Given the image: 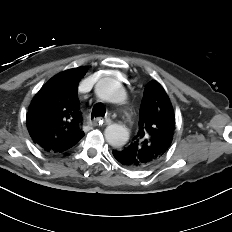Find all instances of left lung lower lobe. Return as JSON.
Returning <instances> with one entry per match:
<instances>
[{
	"label": "left lung lower lobe",
	"mask_w": 232,
	"mask_h": 232,
	"mask_svg": "<svg viewBox=\"0 0 232 232\" xmlns=\"http://www.w3.org/2000/svg\"><path fill=\"white\" fill-rule=\"evenodd\" d=\"M113 156L122 166L132 170H138V161L131 154H129L125 148L114 150Z\"/></svg>",
	"instance_id": "left-lung-lower-lobe-1"
}]
</instances>
